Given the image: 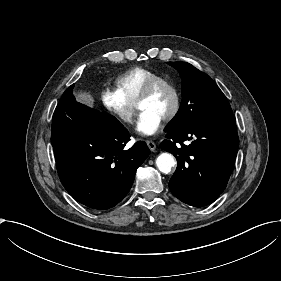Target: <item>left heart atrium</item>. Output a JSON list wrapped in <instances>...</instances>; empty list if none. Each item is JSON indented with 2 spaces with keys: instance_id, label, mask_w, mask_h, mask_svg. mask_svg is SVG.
Segmentation results:
<instances>
[{
  "instance_id": "1",
  "label": "left heart atrium",
  "mask_w": 281,
  "mask_h": 281,
  "mask_svg": "<svg viewBox=\"0 0 281 281\" xmlns=\"http://www.w3.org/2000/svg\"><path fill=\"white\" fill-rule=\"evenodd\" d=\"M161 123L162 120L159 117L146 110H141L137 124V131L142 135L150 136L158 131Z\"/></svg>"
}]
</instances>
